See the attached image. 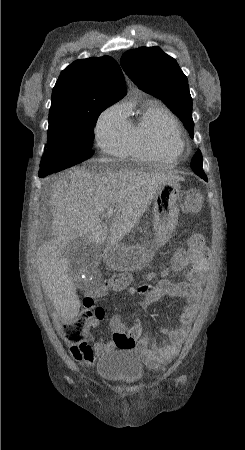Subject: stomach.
Wrapping results in <instances>:
<instances>
[{
    "instance_id": "0dacf381",
    "label": "stomach",
    "mask_w": 245,
    "mask_h": 450,
    "mask_svg": "<svg viewBox=\"0 0 245 450\" xmlns=\"http://www.w3.org/2000/svg\"><path fill=\"white\" fill-rule=\"evenodd\" d=\"M181 185L178 180L166 181L159 185L153 203V230L157 247L114 244L105 253L106 263L117 271H137L147 266L159 246L164 245L174 230L179 215L178 202Z\"/></svg>"
}]
</instances>
